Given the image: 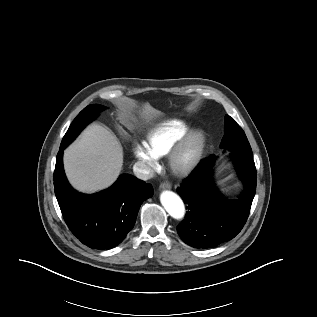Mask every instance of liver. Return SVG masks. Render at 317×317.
I'll return each instance as SVG.
<instances>
[{
	"label": "liver",
	"instance_id": "liver-1",
	"mask_svg": "<svg viewBox=\"0 0 317 317\" xmlns=\"http://www.w3.org/2000/svg\"><path fill=\"white\" fill-rule=\"evenodd\" d=\"M152 108L145 104L142 115ZM123 165V150L116 136L106 128L89 125L65 151L64 169L71 185L94 193L112 185Z\"/></svg>",
	"mask_w": 317,
	"mask_h": 317
}]
</instances>
